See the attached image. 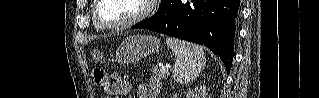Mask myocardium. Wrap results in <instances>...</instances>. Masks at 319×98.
I'll use <instances>...</instances> for the list:
<instances>
[{"instance_id":"obj_1","label":"myocardium","mask_w":319,"mask_h":98,"mask_svg":"<svg viewBox=\"0 0 319 98\" xmlns=\"http://www.w3.org/2000/svg\"><path fill=\"white\" fill-rule=\"evenodd\" d=\"M102 0H95L94 7H93V20L94 23L102 29H120V28H127L133 26L137 23L142 22L145 20L153 11L155 0H141L142 9L139 13L135 16L116 23H106L104 22L99 15V7Z\"/></svg>"}]
</instances>
